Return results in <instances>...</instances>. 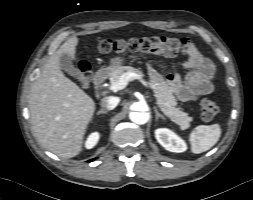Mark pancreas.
<instances>
[{
  "mask_svg": "<svg viewBox=\"0 0 253 200\" xmlns=\"http://www.w3.org/2000/svg\"><path fill=\"white\" fill-rule=\"evenodd\" d=\"M127 72L138 73L143 75L141 69H137L131 66H120L110 73V82H116L120 77ZM149 85L153 89L154 96L156 97L157 104L164 112V114L169 117L173 122L178 124L182 130L190 127V121L192 118L189 117L180 107H176L177 100L173 96L169 84L164 80L161 74L156 70L150 69L148 72Z\"/></svg>",
  "mask_w": 253,
  "mask_h": 200,
  "instance_id": "1",
  "label": "pancreas"
}]
</instances>
